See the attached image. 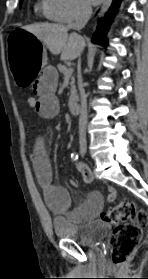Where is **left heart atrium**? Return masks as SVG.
Instances as JSON below:
<instances>
[{
  "mask_svg": "<svg viewBox=\"0 0 148 279\" xmlns=\"http://www.w3.org/2000/svg\"><path fill=\"white\" fill-rule=\"evenodd\" d=\"M102 0H86L87 3L89 4H93V5H96L98 3H100Z\"/></svg>",
  "mask_w": 148,
  "mask_h": 279,
  "instance_id": "39dd6f15",
  "label": "left heart atrium"
}]
</instances>
